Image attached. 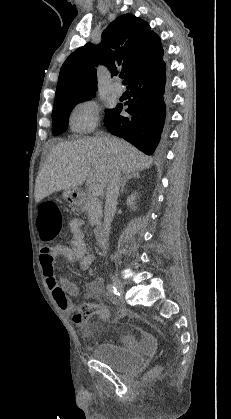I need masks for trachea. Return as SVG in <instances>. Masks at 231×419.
Returning a JSON list of instances; mask_svg holds the SVG:
<instances>
[{
  "instance_id": "3493384b",
  "label": "trachea",
  "mask_w": 231,
  "mask_h": 419,
  "mask_svg": "<svg viewBox=\"0 0 231 419\" xmlns=\"http://www.w3.org/2000/svg\"><path fill=\"white\" fill-rule=\"evenodd\" d=\"M120 78H122V79H123V78H124V75H120Z\"/></svg>"
}]
</instances>
